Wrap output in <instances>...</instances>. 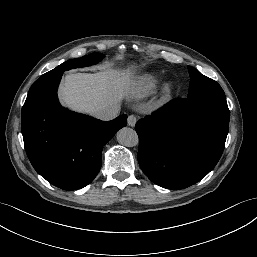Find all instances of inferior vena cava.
<instances>
[{
	"mask_svg": "<svg viewBox=\"0 0 257 257\" xmlns=\"http://www.w3.org/2000/svg\"><path fill=\"white\" fill-rule=\"evenodd\" d=\"M120 107L112 105L108 107L96 108L92 111V116L100 120H112L119 115Z\"/></svg>",
	"mask_w": 257,
	"mask_h": 257,
	"instance_id": "602c4592",
	"label": "inferior vena cava"
}]
</instances>
